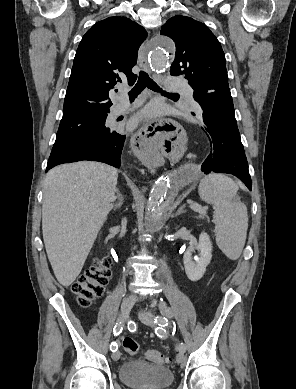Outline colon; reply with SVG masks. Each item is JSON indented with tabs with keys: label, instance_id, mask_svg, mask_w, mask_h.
Masks as SVG:
<instances>
[{
	"label": "colon",
	"instance_id": "1",
	"mask_svg": "<svg viewBox=\"0 0 296 389\" xmlns=\"http://www.w3.org/2000/svg\"><path fill=\"white\" fill-rule=\"evenodd\" d=\"M111 263L112 260L108 255L95 259L93 265L71 285V291L80 306L90 307L93 301L103 293L111 278ZM122 346L131 355L139 352L138 343L131 337L123 338ZM146 358L158 364L168 363L170 360L168 356L156 349L148 350Z\"/></svg>",
	"mask_w": 296,
	"mask_h": 389
}]
</instances>
